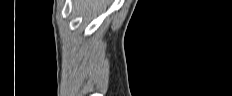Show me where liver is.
<instances>
[{
	"instance_id": "obj_1",
	"label": "liver",
	"mask_w": 232,
	"mask_h": 96,
	"mask_svg": "<svg viewBox=\"0 0 232 96\" xmlns=\"http://www.w3.org/2000/svg\"><path fill=\"white\" fill-rule=\"evenodd\" d=\"M109 3L107 0H76V9L86 16L91 13H96L103 9V6Z\"/></svg>"
}]
</instances>
